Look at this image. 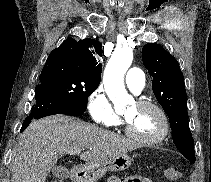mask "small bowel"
Returning a JSON list of instances; mask_svg holds the SVG:
<instances>
[{
	"label": "small bowel",
	"mask_w": 211,
	"mask_h": 182,
	"mask_svg": "<svg viewBox=\"0 0 211 182\" xmlns=\"http://www.w3.org/2000/svg\"><path fill=\"white\" fill-rule=\"evenodd\" d=\"M108 182H152L150 179L142 176H131L127 178L111 177Z\"/></svg>",
	"instance_id": "small-bowel-1"
}]
</instances>
